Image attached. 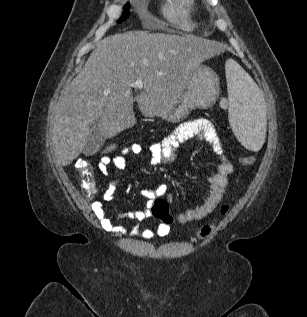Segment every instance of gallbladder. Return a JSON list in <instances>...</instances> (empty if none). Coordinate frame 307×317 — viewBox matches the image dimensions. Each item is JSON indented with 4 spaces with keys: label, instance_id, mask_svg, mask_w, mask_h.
Listing matches in <instances>:
<instances>
[{
    "label": "gallbladder",
    "instance_id": "gallbladder-1",
    "mask_svg": "<svg viewBox=\"0 0 307 317\" xmlns=\"http://www.w3.org/2000/svg\"><path fill=\"white\" fill-rule=\"evenodd\" d=\"M90 126V135L83 150L86 156L94 155L104 143L100 120H95Z\"/></svg>",
    "mask_w": 307,
    "mask_h": 317
}]
</instances>
